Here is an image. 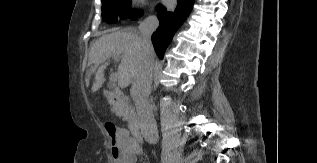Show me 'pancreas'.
<instances>
[{
	"instance_id": "cf45deb5",
	"label": "pancreas",
	"mask_w": 317,
	"mask_h": 163,
	"mask_svg": "<svg viewBox=\"0 0 317 163\" xmlns=\"http://www.w3.org/2000/svg\"><path fill=\"white\" fill-rule=\"evenodd\" d=\"M115 112L123 117V120L133 123L136 119L135 110L132 106L129 107H115Z\"/></svg>"
}]
</instances>
